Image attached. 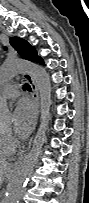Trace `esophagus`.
<instances>
[{
  "label": "esophagus",
  "instance_id": "esophagus-1",
  "mask_svg": "<svg viewBox=\"0 0 89 203\" xmlns=\"http://www.w3.org/2000/svg\"><path fill=\"white\" fill-rule=\"evenodd\" d=\"M24 77L28 80V82L30 83V85L32 87V98H33V101H34V104H35V122H34V129H35V127L37 125L38 116H39V94H38V88H37V85H36L33 77L30 74L25 73ZM31 142H32V138L29 141L27 150H29V148L31 146ZM24 156L25 155H22L17 160V162L14 164L15 167H17L21 163V161L23 160Z\"/></svg>",
  "mask_w": 89,
  "mask_h": 203
}]
</instances>
